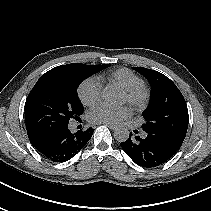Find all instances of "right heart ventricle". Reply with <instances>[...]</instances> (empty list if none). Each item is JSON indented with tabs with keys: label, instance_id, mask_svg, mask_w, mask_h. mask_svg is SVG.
<instances>
[{
	"label": "right heart ventricle",
	"instance_id": "right-heart-ventricle-1",
	"mask_svg": "<svg viewBox=\"0 0 211 211\" xmlns=\"http://www.w3.org/2000/svg\"><path fill=\"white\" fill-rule=\"evenodd\" d=\"M100 82L109 81L119 85L123 90L135 86L143 85V80L134 72L127 68L116 69L107 75L99 76Z\"/></svg>",
	"mask_w": 211,
	"mask_h": 211
}]
</instances>
